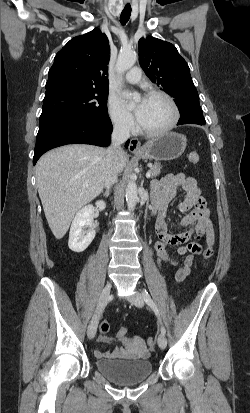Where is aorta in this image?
<instances>
[{
  "mask_svg": "<svg viewBox=\"0 0 250 413\" xmlns=\"http://www.w3.org/2000/svg\"><path fill=\"white\" fill-rule=\"evenodd\" d=\"M136 61L137 55L134 51H122L118 55V59L116 62V71L119 75L120 81L122 80V74L126 72L128 69H130L136 63ZM133 99L135 101H138L140 99L139 94H133ZM125 193L128 209L132 211L134 210L138 201L137 185L132 177H130V180L127 183Z\"/></svg>",
  "mask_w": 250,
  "mask_h": 413,
  "instance_id": "aorta-1",
  "label": "aorta"
}]
</instances>
